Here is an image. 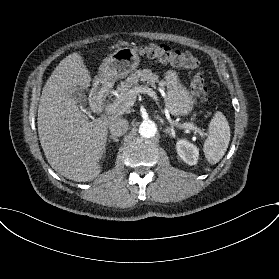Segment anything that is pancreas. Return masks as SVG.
Returning a JSON list of instances; mask_svg holds the SVG:
<instances>
[{
  "instance_id": "obj_1",
  "label": "pancreas",
  "mask_w": 279,
  "mask_h": 279,
  "mask_svg": "<svg viewBox=\"0 0 279 279\" xmlns=\"http://www.w3.org/2000/svg\"><path fill=\"white\" fill-rule=\"evenodd\" d=\"M146 81L148 85H155L156 83L163 87V83L159 81V77L152 73L150 69H139L133 73L126 80L121 82V87L119 88L120 96L122 101L119 102L118 108L124 107L126 111L131 109V106L135 102L136 95L131 96V100L126 99V96L134 88V85H138L140 82ZM127 103V104H126Z\"/></svg>"
}]
</instances>
